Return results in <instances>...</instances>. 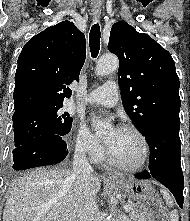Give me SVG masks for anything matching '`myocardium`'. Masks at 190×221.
<instances>
[{"label":"myocardium","mask_w":190,"mask_h":221,"mask_svg":"<svg viewBox=\"0 0 190 221\" xmlns=\"http://www.w3.org/2000/svg\"><path fill=\"white\" fill-rule=\"evenodd\" d=\"M117 129L131 131L139 137V139L141 140V143L143 145V157H142L141 161L136 165H133V166L126 165V164L120 162L113 155V153L110 151L107 144L104 143V152H105L106 159L112 165H114L115 167H117V168H119L123 171L137 172V171L142 170L147 165L148 160H149V156H150V147H149V142H148L146 136L144 135V133L139 128H137L136 126L131 125V124H122Z\"/></svg>","instance_id":"f54148a6"}]
</instances>
